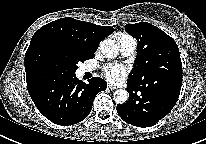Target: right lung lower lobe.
I'll use <instances>...</instances> for the list:
<instances>
[{"mask_svg": "<svg viewBox=\"0 0 206 144\" xmlns=\"http://www.w3.org/2000/svg\"><path fill=\"white\" fill-rule=\"evenodd\" d=\"M28 92L37 109L57 125H73L84 120L91 112L98 92L107 83L93 77L83 83L75 74L37 73L26 75Z\"/></svg>", "mask_w": 206, "mask_h": 144, "instance_id": "1", "label": "right lung lower lobe"}]
</instances>
